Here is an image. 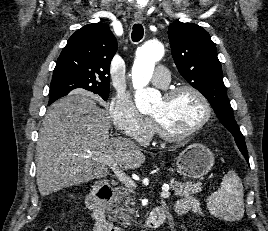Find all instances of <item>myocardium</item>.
<instances>
[{
    "label": "myocardium",
    "instance_id": "obj_1",
    "mask_svg": "<svg viewBox=\"0 0 268 231\" xmlns=\"http://www.w3.org/2000/svg\"><path fill=\"white\" fill-rule=\"evenodd\" d=\"M191 93L195 97L198 98V100L202 103L203 105V116L201 120L190 130L183 132V133H175L172 132L165 124L163 119L160 117L152 116V121L153 124L159 133V135L170 142H177V141H183L185 139L191 138L194 136L196 133H198L200 130L204 128V126L209 122L212 114V108L211 104L208 100V98L197 88L191 86V85H178L173 88H170L166 90L162 98L165 102H170L172 101L176 96H178L181 93Z\"/></svg>",
    "mask_w": 268,
    "mask_h": 231
}]
</instances>
